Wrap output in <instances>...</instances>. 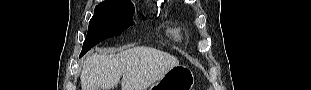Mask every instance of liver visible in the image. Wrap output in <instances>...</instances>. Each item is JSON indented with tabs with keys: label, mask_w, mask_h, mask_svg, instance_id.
<instances>
[{
	"label": "liver",
	"mask_w": 311,
	"mask_h": 90,
	"mask_svg": "<svg viewBox=\"0 0 311 90\" xmlns=\"http://www.w3.org/2000/svg\"><path fill=\"white\" fill-rule=\"evenodd\" d=\"M176 57L150 47H134L118 54L86 57L80 80L82 90H112L122 76V90H146L172 67Z\"/></svg>",
	"instance_id": "liver-1"
}]
</instances>
